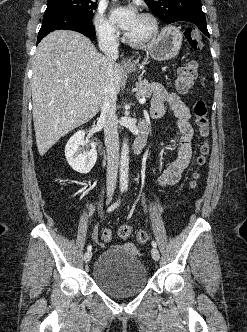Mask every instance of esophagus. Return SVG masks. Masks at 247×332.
Returning <instances> with one entry per match:
<instances>
[{"label": "esophagus", "instance_id": "esophagus-1", "mask_svg": "<svg viewBox=\"0 0 247 332\" xmlns=\"http://www.w3.org/2000/svg\"><path fill=\"white\" fill-rule=\"evenodd\" d=\"M121 64H122V66H130V65H132V62L129 58L125 57L122 59Z\"/></svg>", "mask_w": 247, "mask_h": 332}]
</instances>
